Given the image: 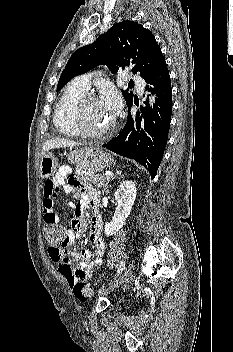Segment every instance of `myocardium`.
Masks as SVG:
<instances>
[{"label": "myocardium", "instance_id": "myocardium-1", "mask_svg": "<svg viewBox=\"0 0 233 352\" xmlns=\"http://www.w3.org/2000/svg\"><path fill=\"white\" fill-rule=\"evenodd\" d=\"M99 100V98L93 94L86 93L84 94L76 103L74 110H73V125L79 135L84 136V137H90V138H95V137H103L110 133L114 126H115V119H113L112 123L105 129L103 130H90L88 129L83 120V111L85 105L90 102V101H95Z\"/></svg>", "mask_w": 233, "mask_h": 352}]
</instances>
